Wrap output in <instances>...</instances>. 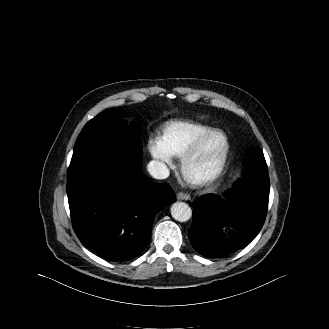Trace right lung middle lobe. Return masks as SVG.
Instances as JSON below:
<instances>
[{
  "label": "right lung middle lobe",
  "mask_w": 329,
  "mask_h": 329,
  "mask_svg": "<svg viewBox=\"0 0 329 329\" xmlns=\"http://www.w3.org/2000/svg\"><path fill=\"white\" fill-rule=\"evenodd\" d=\"M142 154L139 127L115 120L111 113H100L82 129L68 171L101 156L140 164Z\"/></svg>",
  "instance_id": "obj_1"
}]
</instances>
